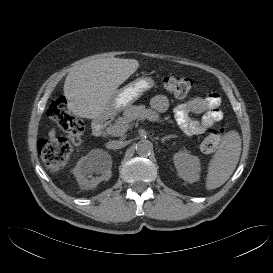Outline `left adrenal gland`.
Masks as SVG:
<instances>
[{"instance_id":"a2214340","label":"left adrenal gland","mask_w":273,"mask_h":273,"mask_svg":"<svg viewBox=\"0 0 273 273\" xmlns=\"http://www.w3.org/2000/svg\"><path fill=\"white\" fill-rule=\"evenodd\" d=\"M175 135H167L161 139L162 143H165L166 140H170L171 138H175Z\"/></svg>"}]
</instances>
